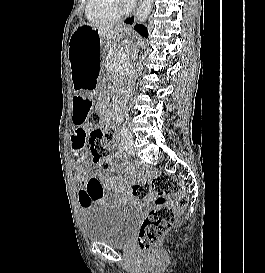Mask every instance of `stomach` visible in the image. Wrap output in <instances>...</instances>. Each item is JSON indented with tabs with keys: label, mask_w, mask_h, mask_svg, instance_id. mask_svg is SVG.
I'll list each match as a JSON object with an SVG mask.
<instances>
[{
	"label": "stomach",
	"mask_w": 265,
	"mask_h": 273,
	"mask_svg": "<svg viewBox=\"0 0 265 273\" xmlns=\"http://www.w3.org/2000/svg\"><path fill=\"white\" fill-rule=\"evenodd\" d=\"M129 35L131 31L122 28L112 39L87 25L76 27L68 46L74 95H93L98 90L100 80L96 79L108 78L110 69V64H101L105 49H135V44H120ZM104 60H122V55H104Z\"/></svg>",
	"instance_id": "1"
}]
</instances>
